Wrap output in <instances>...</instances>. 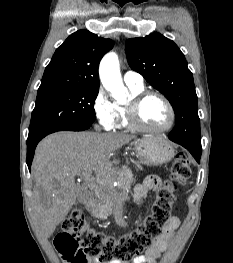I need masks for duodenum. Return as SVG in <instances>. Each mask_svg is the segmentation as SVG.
<instances>
[{"instance_id": "1", "label": "duodenum", "mask_w": 233, "mask_h": 263, "mask_svg": "<svg viewBox=\"0 0 233 263\" xmlns=\"http://www.w3.org/2000/svg\"><path fill=\"white\" fill-rule=\"evenodd\" d=\"M94 206H95L94 199L91 197H88L85 201V208L90 211L94 208Z\"/></svg>"}]
</instances>
